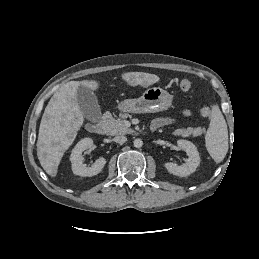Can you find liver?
<instances>
[{"instance_id":"liver-1","label":"liver","mask_w":259,"mask_h":259,"mask_svg":"<svg viewBox=\"0 0 259 259\" xmlns=\"http://www.w3.org/2000/svg\"><path fill=\"white\" fill-rule=\"evenodd\" d=\"M122 79L130 86L148 87L160 81L155 74L145 72H127ZM85 85L97 90L95 80L70 81L60 87L48 102L41 119L37 157L45 172L55 177L64 153L74 142L77 132L84 123L83 113L77 102V89Z\"/></svg>"}]
</instances>
